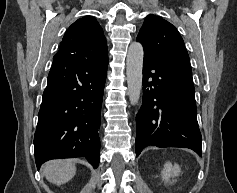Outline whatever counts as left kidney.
<instances>
[{
  "label": "left kidney",
  "instance_id": "left-kidney-1",
  "mask_svg": "<svg viewBox=\"0 0 237 193\" xmlns=\"http://www.w3.org/2000/svg\"><path fill=\"white\" fill-rule=\"evenodd\" d=\"M180 172L181 168L178 164L172 165L171 162H167L162 170V179L165 182H168L170 180V177L179 176Z\"/></svg>",
  "mask_w": 237,
  "mask_h": 193
}]
</instances>
